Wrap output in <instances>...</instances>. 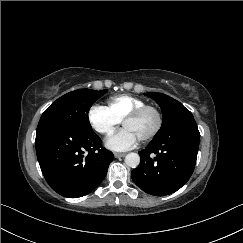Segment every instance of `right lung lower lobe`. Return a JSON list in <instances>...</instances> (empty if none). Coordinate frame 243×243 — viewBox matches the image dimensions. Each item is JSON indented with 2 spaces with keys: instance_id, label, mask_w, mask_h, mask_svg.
I'll return each instance as SVG.
<instances>
[{
  "instance_id": "1",
  "label": "right lung lower lobe",
  "mask_w": 243,
  "mask_h": 243,
  "mask_svg": "<svg viewBox=\"0 0 243 243\" xmlns=\"http://www.w3.org/2000/svg\"><path fill=\"white\" fill-rule=\"evenodd\" d=\"M35 146L47 183L58 194L69 198L93 191L105 178L114 158L93 131L61 126L37 131Z\"/></svg>"
}]
</instances>
